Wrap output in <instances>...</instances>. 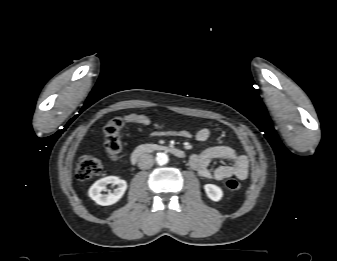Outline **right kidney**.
Segmentation results:
<instances>
[{"label":"right kidney","mask_w":337,"mask_h":261,"mask_svg":"<svg viewBox=\"0 0 337 261\" xmlns=\"http://www.w3.org/2000/svg\"><path fill=\"white\" fill-rule=\"evenodd\" d=\"M107 184L116 185V189L108 194H102L101 192L105 190ZM127 189V182L121 180L116 176H108L96 181L89 189V197L94 200L97 204L102 206H108L119 201L124 195Z\"/></svg>","instance_id":"1"}]
</instances>
